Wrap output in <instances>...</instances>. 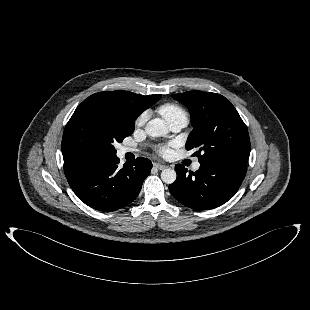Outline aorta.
I'll return each mask as SVG.
<instances>
[{
  "instance_id": "obj_1",
  "label": "aorta",
  "mask_w": 310,
  "mask_h": 310,
  "mask_svg": "<svg viewBox=\"0 0 310 310\" xmlns=\"http://www.w3.org/2000/svg\"><path fill=\"white\" fill-rule=\"evenodd\" d=\"M145 132L151 137H161L165 136L168 132V129L162 119L155 118L150 120L146 127ZM176 172L173 169H164L161 173V179L166 184H172L176 180Z\"/></svg>"
}]
</instances>
